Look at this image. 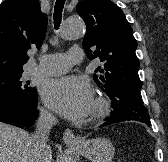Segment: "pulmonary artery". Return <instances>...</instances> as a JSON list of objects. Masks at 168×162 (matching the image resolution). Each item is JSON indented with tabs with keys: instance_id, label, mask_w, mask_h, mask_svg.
Listing matches in <instances>:
<instances>
[{
	"instance_id": "e3ab8cb5",
	"label": "pulmonary artery",
	"mask_w": 168,
	"mask_h": 162,
	"mask_svg": "<svg viewBox=\"0 0 168 162\" xmlns=\"http://www.w3.org/2000/svg\"><path fill=\"white\" fill-rule=\"evenodd\" d=\"M82 59V48L73 46L66 53L49 54L40 57L39 65L35 68V72L48 76L64 74L73 64L80 63Z\"/></svg>"
}]
</instances>
